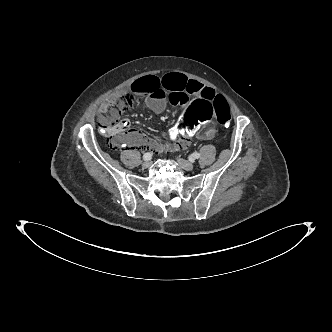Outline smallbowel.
Listing matches in <instances>:
<instances>
[{
    "label": "small bowel",
    "instance_id": "obj_1",
    "mask_svg": "<svg viewBox=\"0 0 332 332\" xmlns=\"http://www.w3.org/2000/svg\"><path fill=\"white\" fill-rule=\"evenodd\" d=\"M129 89L135 92L140 98L146 99L147 107L156 113L163 112L168 102L181 107L187 99L196 95L206 97L211 103L215 97V93L212 89L196 80L187 78L184 74L175 72L167 73L163 76H142L135 79ZM127 94L128 90H124L117 94L113 101ZM111 102L104 104L99 111L98 121L102 126H104L103 115L105 109ZM118 130L121 133L122 144H124L123 146L127 149L139 146H151L156 150H162L160 144L148 139L141 131L131 128L128 120L120 121ZM214 135L215 128L211 121L202 134L194 137L200 140H210ZM186 140L187 139L180 143H172L174 146H184L187 143Z\"/></svg>",
    "mask_w": 332,
    "mask_h": 332
}]
</instances>
